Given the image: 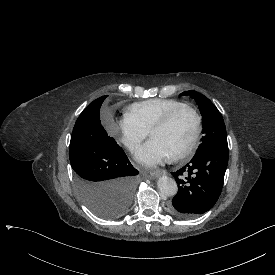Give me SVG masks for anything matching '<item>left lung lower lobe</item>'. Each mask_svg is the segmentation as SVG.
Instances as JSON below:
<instances>
[{"mask_svg":"<svg viewBox=\"0 0 275 275\" xmlns=\"http://www.w3.org/2000/svg\"><path fill=\"white\" fill-rule=\"evenodd\" d=\"M227 164L228 148L217 147L194 156L185 167L172 172L179 190L169 206L170 212L191 218L210 210L221 194Z\"/></svg>","mask_w":275,"mask_h":275,"instance_id":"left-lung-lower-lobe-1","label":"left lung lower lobe"}]
</instances>
